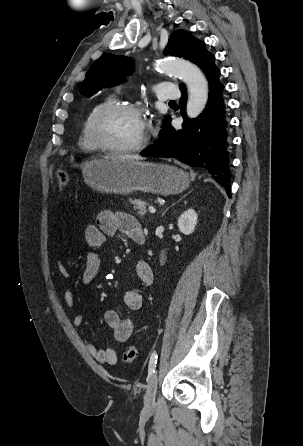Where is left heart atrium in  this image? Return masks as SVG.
<instances>
[{"mask_svg":"<svg viewBox=\"0 0 303 446\" xmlns=\"http://www.w3.org/2000/svg\"><path fill=\"white\" fill-rule=\"evenodd\" d=\"M144 124H145L146 130H148L150 128V122L144 121Z\"/></svg>","mask_w":303,"mask_h":446,"instance_id":"1","label":"left heart atrium"}]
</instances>
